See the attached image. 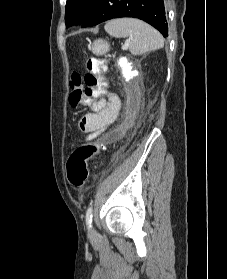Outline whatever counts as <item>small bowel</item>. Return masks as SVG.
I'll return each instance as SVG.
<instances>
[{"instance_id":"1","label":"small bowel","mask_w":227,"mask_h":279,"mask_svg":"<svg viewBox=\"0 0 227 279\" xmlns=\"http://www.w3.org/2000/svg\"><path fill=\"white\" fill-rule=\"evenodd\" d=\"M93 112L83 116L79 122L80 131L88 134V139H96L110 128L117 119L122 107L120 97L112 92L106 98L92 103Z\"/></svg>"}]
</instances>
